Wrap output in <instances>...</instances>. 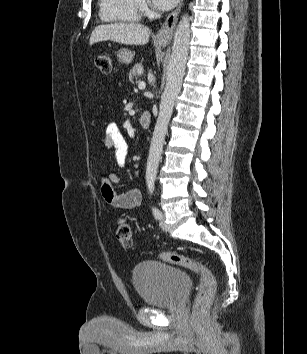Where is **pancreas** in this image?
<instances>
[{"label":"pancreas","instance_id":"obj_1","mask_svg":"<svg viewBox=\"0 0 307 354\" xmlns=\"http://www.w3.org/2000/svg\"><path fill=\"white\" fill-rule=\"evenodd\" d=\"M143 71H144L143 65L141 63L136 64L134 67H132V69L128 74L129 80L131 82H133L134 79L138 80L141 77Z\"/></svg>","mask_w":307,"mask_h":354}]
</instances>
